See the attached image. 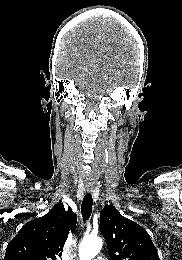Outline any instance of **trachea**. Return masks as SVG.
Wrapping results in <instances>:
<instances>
[{
  "label": "trachea",
  "mask_w": 182,
  "mask_h": 260,
  "mask_svg": "<svg viewBox=\"0 0 182 260\" xmlns=\"http://www.w3.org/2000/svg\"><path fill=\"white\" fill-rule=\"evenodd\" d=\"M92 205H93L92 195L88 193L84 196L81 204V213L84 221L90 218L92 213Z\"/></svg>",
  "instance_id": "obj_1"
}]
</instances>
